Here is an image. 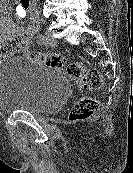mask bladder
Segmentation results:
<instances>
[{"mask_svg":"<svg viewBox=\"0 0 133 173\" xmlns=\"http://www.w3.org/2000/svg\"><path fill=\"white\" fill-rule=\"evenodd\" d=\"M68 79L60 72L15 57L0 65V112L27 111L48 115L70 96Z\"/></svg>","mask_w":133,"mask_h":173,"instance_id":"1","label":"bladder"}]
</instances>
